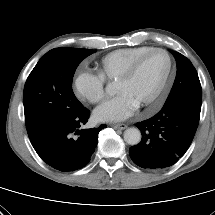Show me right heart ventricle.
Returning <instances> with one entry per match:
<instances>
[{
    "label": "right heart ventricle",
    "mask_w": 215,
    "mask_h": 215,
    "mask_svg": "<svg viewBox=\"0 0 215 215\" xmlns=\"http://www.w3.org/2000/svg\"><path fill=\"white\" fill-rule=\"evenodd\" d=\"M151 47L121 48L104 55L98 62L99 74L106 80L116 81L128 65Z\"/></svg>",
    "instance_id": "obj_1"
}]
</instances>
